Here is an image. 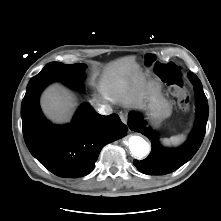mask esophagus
<instances>
[{"instance_id": "1", "label": "esophagus", "mask_w": 221, "mask_h": 221, "mask_svg": "<svg viewBox=\"0 0 221 221\" xmlns=\"http://www.w3.org/2000/svg\"><path fill=\"white\" fill-rule=\"evenodd\" d=\"M120 119H121V121H122L123 123H126V122H127V115L121 113V114H120Z\"/></svg>"}]
</instances>
